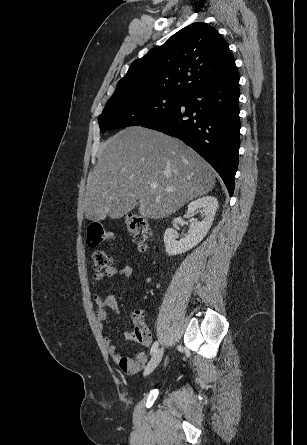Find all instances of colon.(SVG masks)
<instances>
[{
    "mask_svg": "<svg viewBox=\"0 0 307 445\" xmlns=\"http://www.w3.org/2000/svg\"><path fill=\"white\" fill-rule=\"evenodd\" d=\"M125 221L127 229L133 236L138 248L141 250L146 249L151 239V230L146 219L136 214H129L126 216ZM112 238L113 233L106 230L100 221H93L88 225L86 242L89 247H97L102 242ZM92 259L96 271L106 270L112 264L109 254L102 250L94 251ZM144 319L145 313L143 311L138 310L133 313L132 320L135 328L132 332V340L143 345H149L151 337L145 326Z\"/></svg>",
    "mask_w": 307,
    "mask_h": 445,
    "instance_id": "5ec220e1",
    "label": "colon"
}]
</instances>
